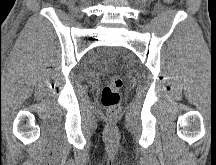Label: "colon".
Masks as SVG:
<instances>
[{
  "label": "colon",
  "instance_id": "1",
  "mask_svg": "<svg viewBox=\"0 0 216 165\" xmlns=\"http://www.w3.org/2000/svg\"><path fill=\"white\" fill-rule=\"evenodd\" d=\"M122 87L123 79L119 75H113L102 89L101 102L110 117H114L119 113Z\"/></svg>",
  "mask_w": 216,
  "mask_h": 165
}]
</instances>
